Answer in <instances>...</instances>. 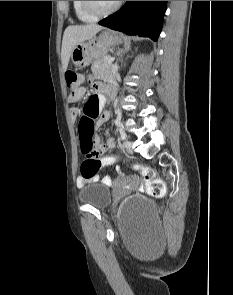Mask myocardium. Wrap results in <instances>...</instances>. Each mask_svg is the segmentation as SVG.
Wrapping results in <instances>:
<instances>
[{
	"mask_svg": "<svg viewBox=\"0 0 233 295\" xmlns=\"http://www.w3.org/2000/svg\"><path fill=\"white\" fill-rule=\"evenodd\" d=\"M81 2L85 11L97 18L112 14L120 7L122 3V1H117L111 8L107 10H100L97 8L94 1H81Z\"/></svg>",
	"mask_w": 233,
	"mask_h": 295,
	"instance_id": "f54148a6",
	"label": "myocardium"
}]
</instances>
